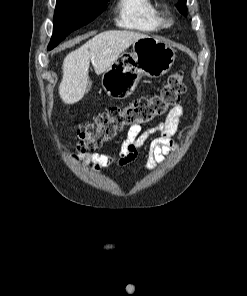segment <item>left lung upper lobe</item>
Returning <instances> with one entry per match:
<instances>
[{"label":"left lung upper lobe","instance_id":"1","mask_svg":"<svg viewBox=\"0 0 247 296\" xmlns=\"http://www.w3.org/2000/svg\"><path fill=\"white\" fill-rule=\"evenodd\" d=\"M181 1H183V2L178 3L177 6H178L179 11L185 15L186 14V5H185L186 0H181Z\"/></svg>","mask_w":247,"mask_h":296}]
</instances>
